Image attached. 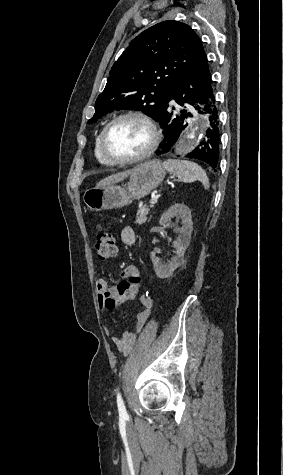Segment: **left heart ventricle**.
<instances>
[{"instance_id":"left-heart-ventricle-1","label":"left heart ventricle","mask_w":283,"mask_h":475,"mask_svg":"<svg viewBox=\"0 0 283 475\" xmlns=\"http://www.w3.org/2000/svg\"><path fill=\"white\" fill-rule=\"evenodd\" d=\"M151 130L136 118L117 121L108 131L105 149L110 157L129 158L141 154L149 145Z\"/></svg>"}]
</instances>
